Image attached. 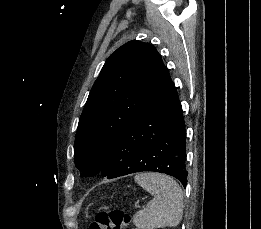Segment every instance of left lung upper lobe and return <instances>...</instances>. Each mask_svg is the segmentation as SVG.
Listing matches in <instances>:
<instances>
[{
    "mask_svg": "<svg viewBox=\"0 0 261 229\" xmlns=\"http://www.w3.org/2000/svg\"><path fill=\"white\" fill-rule=\"evenodd\" d=\"M170 79L160 54L149 43L130 41L105 62L81 114L74 161L84 175L101 169L126 125Z\"/></svg>",
    "mask_w": 261,
    "mask_h": 229,
    "instance_id": "1",
    "label": "left lung upper lobe"
}]
</instances>
